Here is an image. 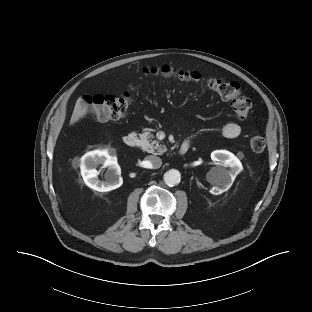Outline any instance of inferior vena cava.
Returning <instances> with one entry per match:
<instances>
[{"mask_svg":"<svg viewBox=\"0 0 312 312\" xmlns=\"http://www.w3.org/2000/svg\"><path fill=\"white\" fill-rule=\"evenodd\" d=\"M146 160H147L148 167L151 169H158L162 165V160L158 156L150 155L146 157Z\"/></svg>","mask_w":312,"mask_h":312,"instance_id":"inferior-vena-cava-1","label":"inferior vena cava"}]
</instances>
